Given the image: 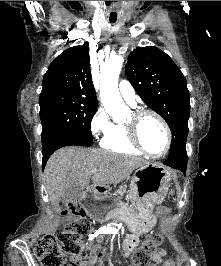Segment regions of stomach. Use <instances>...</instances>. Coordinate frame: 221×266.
Here are the masks:
<instances>
[{"mask_svg": "<svg viewBox=\"0 0 221 266\" xmlns=\"http://www.w3.org/2000/svg\"><path fill=\"white\" fill-rule=\"evenodd\" d=\"M171 179V171L161 163L138 167L128 190L130 208L122 218L132 220L139 229H149L156 220L153 209L165 199Z\"/></svg>", "mask_w": 221, "mask_h": 266, "instance_id": "stomach-1", "label": "stomach"}]
</instances>
